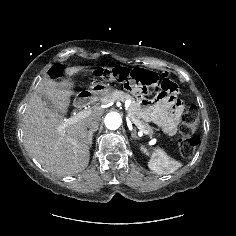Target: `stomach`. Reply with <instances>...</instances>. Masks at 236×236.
Returning a JSON list of instances; mask_svg holds the SVG:
<instances>
[{"label":"stomach","instance_id":"stomach-1","mask_svg":"<svg viewBox=\"0 0 236 236\" xmlns=\"http://www.w3.org/2000/svg\"><path fill=\"white\" fill-rule=\"evenodd\" d=\"M113 91V88L109 84L94 83L91 85L90 90H87L89 96L93 97H105ZM78 96L87 97L83 92H80Z\"/></svg>","mask_w":236,"mask_h":236}]
</instances>
